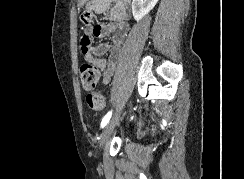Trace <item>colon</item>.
Segmentation results:
<instances>
[{
	"instance_id": "1",
	"label": "colon",
	"mask_w": 244,
	"mask_h": 179,
	"mask_svg": "<svg viewBox=\"0 0 244 179\" xmlns=\"http://www.w3.org/2000/svg\"><path fill=\"white\" fill-rule=\"evenodd\" d=\"M98 69L90 63H83L80 66V80L87 91L86 103L90 110L100 112L105 109V97L96 90L98 84Z\"/></svg>"
}]
</instances>
